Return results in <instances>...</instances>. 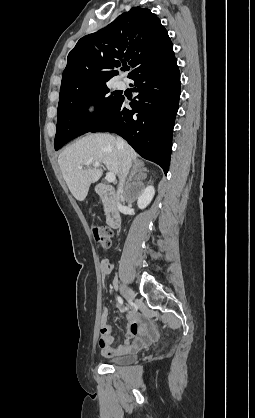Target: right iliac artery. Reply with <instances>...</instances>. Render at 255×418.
I'll return each mask as SVG.
<instances>
[{"mask_svg": "<svg viewBox=\"0 0 255 418\" xmlns=\"http://www.w3.org/2000/svg\"><path fill=\"white\" fill-rule=\"evenodd\" d=\"M117 301H118L120 304H123V300H122V298H121L120 296H117Z\"/></svg>", "mask_w": 255, "mask_h": 418, "instance_id": "82829eb1", "label": "right iliac artery"}]
</instances>
